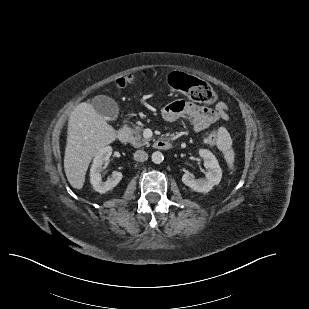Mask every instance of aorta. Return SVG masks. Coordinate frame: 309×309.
Returning <instances> with one entry per match:
<instances>
[{
	"mask_svg": "<svg viewBox=\"0 0 309 309\" xmlns=\"http://www.w3.org/2000/svg\"><path fill=\"white\" fill-rule=\"evenodd\" d=\"M164 160V156L160 151H156L152 154V161L155 164H160Z\"/></svg>",
	"mask_w": 309,
	"mask_h": 309,
	"instance_id": "aorta-1",
	"label": "aorta"
}]
</instances>
